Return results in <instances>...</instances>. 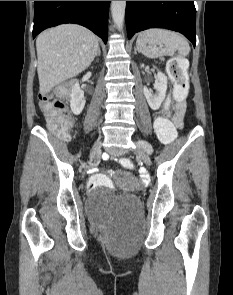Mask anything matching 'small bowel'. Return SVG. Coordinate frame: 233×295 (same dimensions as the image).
Instances as JSON below:
<instances>
[{"label":"small bowel","instance_id":"1","mask_svg":"<svg viewBox=\"0 0 233 295\" xmlns=\"http://www.w3.org/2000/svg\"><path fill=\"white\" fill-rule=\"evenodd\" d=\"M171 102V96L168 95L166 98V101L161 109V111L163 113H165V111H167L169 104ZM178 110L177 112L174 114L173 116V123L175 124V126L177 127H182L183 126V117H184V110H185V103L184 102H180L177 105Z\"/></svg>","mask_w":233,"mask_h":295}]
</instances>
